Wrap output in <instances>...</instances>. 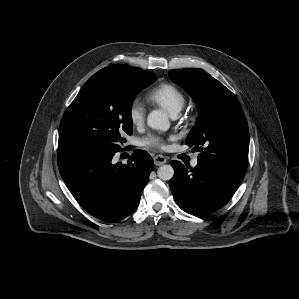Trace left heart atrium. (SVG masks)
Segmentation results:
<instances>
[{
    "mask_svg": "<svg viewBox=\"0 0 299 299\" xmlns=\"http://www.w3.org/2000/svg\"><path fill=\"white\" fill-rule=\"evenodd\" d=\"M141 145L145 147L161 149L165 147V140L161 135L150 134L141 139Z\"/></svg>",
    "mask_w": 299,
    "mask_h": 299,
    "instance_id": "1",
    "label": "left heart atrium"
}]
</instances>
